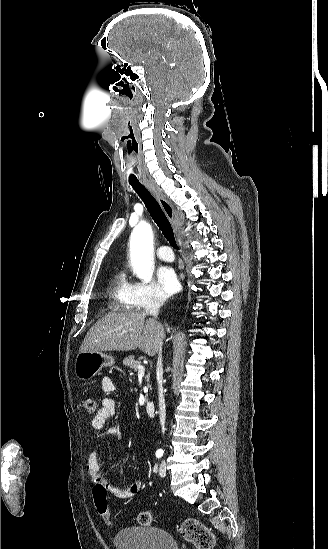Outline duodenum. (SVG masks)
I'll return each instance as SVG.
<instances>
[{
    "label": "duodenum",
    "mask_w": 328,
    "mask_h": 549,
    "mask_svg": "<svg viewBox=\"0 0 328 549\" xmlns=\"http://www.w3.org/2000/svg\"><path fill=\"white\" fill-rule=\"evenodd\" d=\"M145 409H146V412L149 416H154L155 413H156V406L154 404V402L152 401H147L146 404H145Z\"/></svg>",
    "instance_id": "duodenum-1"
}]
</instances>
